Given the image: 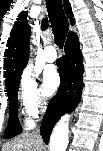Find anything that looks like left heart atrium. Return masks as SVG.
<instances>
[{"label":"left heart atrium","instance_id":"obj_1","mask_svg":"<svg viewBox=\"0 0 103 151\" xmlns=\"http://www.w3.org/2000/svg\"><path fill=\"white\" fill-rule=\"evenodd\" d=\"M60 84V77L55 67L49 66L43 73V89L47 96L52 95Z\"/></svg>","mask_w":103,"mask_h":151}]
</instances>
